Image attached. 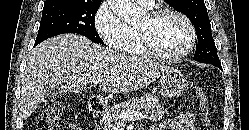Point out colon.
I'll use <instances>...</instances> for the list:
<instances>
[{
  "label": "colon",
  "mask_w": 249,
  "mask_h": 130,
  "mask_svg": "<svg viewBox=\"0 0 249 130\" xmlns=\"http://www.w3.org/2000/svg\"><path fill=\"white\" fill-rule=\"evenodd\" d=\"M196 95L207 130H213L210 123L208 96L202 88L196 89ZM63 119L64 99L62 97H54L50 101L46 102L42 108L38 130H60Z\"/></svg>",
  "instance_id": "obj_1"
}]
</instances>
